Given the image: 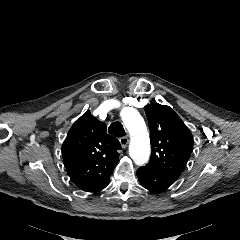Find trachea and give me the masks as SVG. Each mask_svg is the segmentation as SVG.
<instances>
[{"label": "trachea", "instance_id": "1", "mask_svg": "<svg viewBox=\"0 0 240 240\" xmlns=\"http://www.w3.org/2000/svg\"><path fill=\"white\" fill-rule=\"evenodd\" d=\"M108 130L111 135L116 137H124L126 135L123 125L120 122L112 123Z\"/></svg>", "mask_w": 240, "mask_h": 240}]
</instances>
